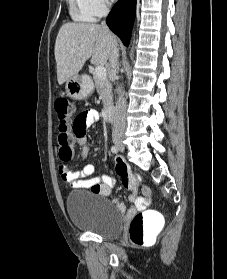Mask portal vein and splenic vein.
Segmentation results:
<instances>
[{
  "instance_id": "obj_1",
  "label": "portal vein and splenic vein",
  "mask_w": 227,
  "mask_h": 279,
  "mask_svg": "<svg viewBox=\"0 0 227 279\" xmlns=\"http://www.w3.org/2000/svg\"><path fill=\"white\" fill-rule=\"evenodd\" d=\"M94 72H95V75H96L99 79H101V80L106 79L107 70H106L105 67H103V66H96Z\"/></svg>"
}]
</instances>
